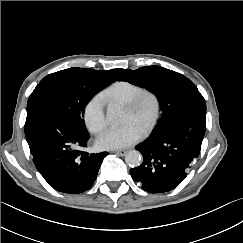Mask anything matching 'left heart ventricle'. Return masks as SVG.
I'll use <instances>...</instances> for the list:
<instances>
[{
  "label": "left heart ventricle",
  "instance_id": "b2bd125f",
  "mask_svg": "<svg viewBox=\"0 0 243 243\" xmlns=\"http://www.w3.org/2000/svg\"><path fill=\"white\" fill-rule=\"evenodd\" d=\"M155 113V106L151 99H147L142 107L136 111L125 110L123 123H133L144 131L151 123Z\"/></svg>",
  "mask_w": 243,
  "mask_h": 243
}]
</instances>
